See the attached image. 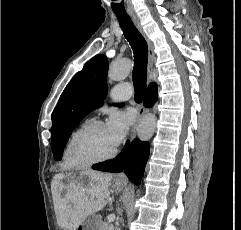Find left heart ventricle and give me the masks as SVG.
<instances>
[{"label":"left heart ventricle","mask_w":241,"mask_h":230,"mask_svg":"<svg viewBox=\"0 0 241 230\" xmlns=\"http://www.w3.org/2000/svg\"><path fill=\"white\" fill-rule=\"evenodd\" d=\"M116 147L110 141L106 127H98L83 137L76 154L79 160L87 161L100 158L111 153Z\"/></svg>","instance_id":"b2bd125f"}]
</instances>
